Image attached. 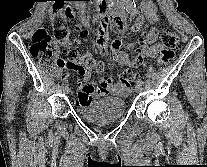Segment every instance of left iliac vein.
<instances>
[{
	"mask_svg": "<svg viewBox=\"0 0 207 167\" xmlns=\"http://www.w3.org/2000/svg\"><path fill=\"white\" fill-rule=\"evenodd\" d=\"M142 91V84L137 83L135 86V92L140 93Z\"/></svg>",
	"mask_w": 207,
	"mask_h": 167,
	"instance_id": "left-iliac-vein-1",
	"label": "left iliac vein"
}]
</instances>
